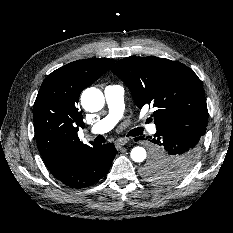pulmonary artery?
I'll return each mask as SVG.
<instances>
[{"instance_id": "pulmonary-artery-1", "label": "pulmonary artery", "mask_w": 233, "mask_h": 233, "mask_svg": "<svg viewBox=\"0 0 233 233\" xmlns=\"http://www.w3.org/2000/svg\"><path fill=\"white\" fill-rule=\"evenodd\" d=\"M104 96L107 103V115L93 125L92 134H103L110 131L122 118L124 112V88L120 85H108L104 89ZM145 126L144 123L140 124ZM151 133L156 132L155 125L146 126Z\"/></svg>"}]
</instances>
